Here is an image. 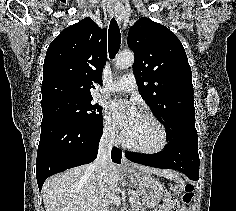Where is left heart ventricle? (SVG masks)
<instances>
[{
    "mask_svg": "<svg viewBox=\"0 0 236 211\" xmlns=\"http://www.w3.org/2000/svg\"><path fill=\"white\" fill-rule=\"evenodd\" d=\"M124 137L130 144L143 149H155L161 142L157 125L142 115L124 133Z\"/></svg>",
    "mask_w": 236,
    "mask_h": 211,
    "instance_id": "obj_1",
    "label": "left heart ventricle"
}]
</instances>
